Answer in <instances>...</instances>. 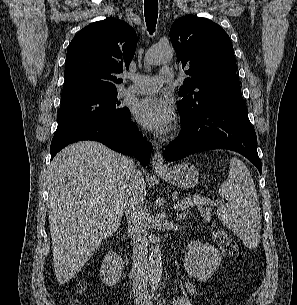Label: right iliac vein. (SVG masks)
<instances>
[{
	"mask_svg": "<svg viewBox=\"0 0 297 305\" xmlns=\"http://www.w3.org/2000/svg\"><path fill=\"white\" fill-rule=\"evenodd\" d=\"M136 305H145V304H143V303H138V304H136Z\"/></svg>",
	"mask_w": 297,
	"mask_h": 305,
	"instance_id": "obj_1",
	"label": "right iliac vein"
}]
</instances>
